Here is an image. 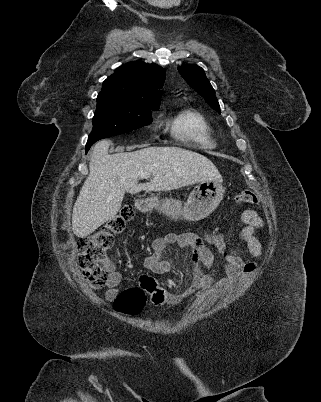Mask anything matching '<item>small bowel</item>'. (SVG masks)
Wrapping results in <instances>:
<instances>
[{
	"mask_svg": "<svg viewBox=\"0 0 321 402\" xmlns=\"http://www.w3.org/2000/svg\"><path fill=\"white\" fill-rule=\"evenodd\" d=\"M238 222L243 225L238 238L248 249L249 254L258 258L262 254L261 245L256 237V231L263 225L262 219L256 211L244 210L238 217ZM213 244L218 254L225 263V278L221 282H232L239 277H249L256 269L252 262L244 261L240 255L231 250L224 237L221 234H212L201 236L196 233H170L164 237L158 238L153 243V253L144 260V266L147 271L155 274H163L173 269L174 263L170 259L164 258L169 246L177 245L187 247L191 250L193 282L190 288L181 294H173L160 286L154 280L148 277L140 279L141 287L150 296V306L161 307L164 305H179L187 297L209 291L216 283L214 276L204 274L203 270L210 268L213 263V256L207 249L206 244ZM109 277L107 281L108 289L106 298L112 300L119 292V284L122 275L112 263L108 265Z\"/></svg>",
	"mask_w": 321,
	"mask_h": 402,
	"instance_id": "c3829d8e",
	"label": "small bowel"
}]
</instances>
